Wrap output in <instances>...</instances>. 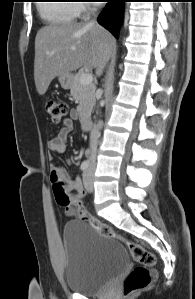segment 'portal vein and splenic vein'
<instances>
[{
  "label": "portal vein and splenic vein",
  "instance_id": "1",
  "mask_svg": "<svg viewBox=\"0 0 195 299\" xmlns=\"http://www.w3.org/2000/svg\"><path fill=\"white\" fill-rule=\"evenodd\" d=\"M92 81H93V76L90 73H85L80 78V83L82 85H89L92 83Z\"/></svg>",
  "mask_w": 195,
  "mask_h": 299
}]
</instances>
